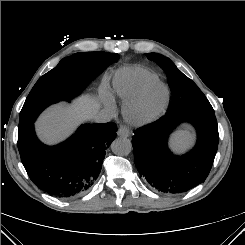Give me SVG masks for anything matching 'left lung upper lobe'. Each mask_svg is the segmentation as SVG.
<instances>
[{"label":"left lung upper lobe","mask_w":245,"mask_h":245,"mask_svg":"<svg viewBox=\"0 0 245 245\" xmlns=\"http://www.w3.org/2000/svg\"><path fill=\"white\" fill-rule=\"evenodd\" d=\"M147 57L157 62L166 71L168 85L172 93V102L168 112L185 107L213 110L197 85L185 76L169 58L157 53H150Z\"/></svg>","instance_id":"left-lung-upper-lobe-1"}]
</instances>
